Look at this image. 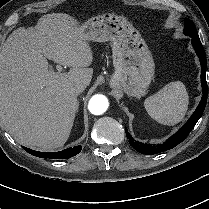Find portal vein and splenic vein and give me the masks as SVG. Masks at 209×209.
I'll return each instance as SVG.
<instances>
[{
  "label": "portal vein and splenic vein",
  "instance_id": "1",
  "mask_svg": "<svg viewBox=\"0 0 209 209\" xmlns=\"http://www.w3.org/2000/svg\"><path fill=\"white\" fill-rule=\"evenodd\" d=\"M56 69H57V75H60L62 72V67L60 65H57Z\"/></svg>",
  "mask_w": 209,
  "mask_h": 209
}]
</instances>
